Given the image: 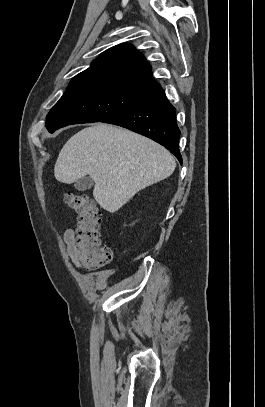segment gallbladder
<instances>
[{"instance_id":"bac80fb5","label":"gallbladder","mask_w":265,"mask_h":407,"mask_svg":"<svg viewBox=\"0 0 265 407\" xmlns=\"http://www.w3.org/2000/svg\"><path fill=\"white\" fill-rule=\"evenodd\" d=\"M94 182L91 177H82L76 181L74 187L78 191H86L89 190L93 186Z\"/></svg>"}]
</instances>
